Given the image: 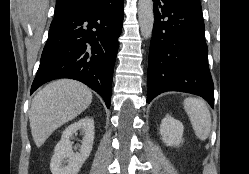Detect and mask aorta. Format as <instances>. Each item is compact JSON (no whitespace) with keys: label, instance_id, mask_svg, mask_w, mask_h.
I'll return each instance as SVG.
<instances>
[{"label":"aorta","instance_id":"aorta-1","mask_svg":"<svg viewBox=\"0 0 249 174\" xmlns=\"http://www.w3.org/2000/svg\"><path fill=\"white\" fill-rule=\"evenodd\" d=\"M138 19L141 30V35L148 39L152 35L154 25L153 1L139 0L138 1Z\"/></svg>","mask_w":249,"mask_h":174}]
</instances>
